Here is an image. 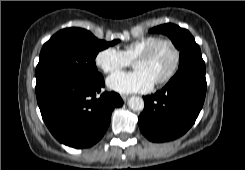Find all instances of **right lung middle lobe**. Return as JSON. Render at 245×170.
Returning <instances> with one entry per match:
<instances>
[{"instance_id": "obj_1", "label": "right lung middle lobe", "mask_w": 245, "mask_h": 170, "mask_svg": "<svg viewBox=\"0 0 245 170\" xmlns=\"http://www.w3.org/2000/svg\"><path fill=\"white\" fill-rule=\"evenodd\" d=\"M118 42L98 40L81 28L59 31L42 47L36 67V92L59 81L99 76L95 65L98 52Z\"/></svg>"}]
</instances>
